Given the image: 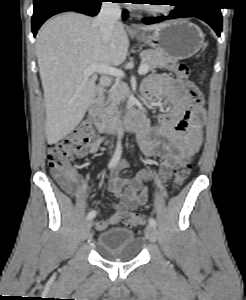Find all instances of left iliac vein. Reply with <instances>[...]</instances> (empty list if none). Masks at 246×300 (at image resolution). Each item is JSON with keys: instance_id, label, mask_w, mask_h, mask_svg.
<instances>
[{"instance_id": "obj_1", "label": "left iliac vein", "mask_w": 246, "mask_h": 300, "mask_svg": "<svg viewBox=\"0 0 246 300\" xmlns=\"http://www.w3.org/2000/svg\"><path fill=\"white\" fill-rule=\"evenodd\" d=\"M145 236L149 241L155 242L157 239V232L154 226L147 225L145 228Z\"/></svg>"}]
</instances>
